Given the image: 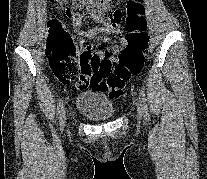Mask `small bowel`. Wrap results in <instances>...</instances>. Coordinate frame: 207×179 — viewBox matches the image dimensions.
<instances>
[{
  "label": "small bowel",
  "mask_w": 207,
  "mask_h": 179,
  "mask_svg": "<svg viewBox=\"0 0 207 179\" xmlns=\"http://www.w3.org/2000/svg\"><path fill=\"white\" fill-rule=\"evenodd\" d=\"M122 18H123L122 11L120 9L114 8L111 14L109 15L108 19H105L99 14H95V13H89L85 16L75 17L73 19V27L78 31V34L83 42L88 39L95 38L99 36L101 33L121 36L122 30L120 27V23L122 21ZM84 19H90L92 21L102 23L104 27L99 29L83 30L81 29V26ZM52 21H57V20H52ZM98 53L101 54V52ZM84 85L85 84L81 83L79 84V87L82 88Z\"/></svg>",
  "instance_id": "small-bowel-1"
}]
</instances>
